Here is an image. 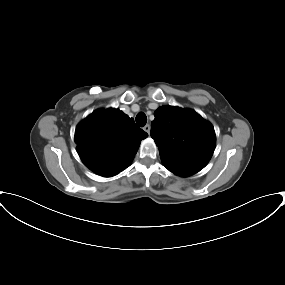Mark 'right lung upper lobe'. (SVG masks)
I'll use <instances>...</instances> for the list:
<instances>
[{"instance_id": "obj_1", "label": "right lung upper lobe", "mask_w": 285, "mask_h": 285, "mask_svg": "<svg viewBox=\"0 0 285 285\" xmlns=\"http://www.w3.org/2000/svg\"><path fill=\"white\" fill-rule=\"evenodd\" d=\"M148 136L133 118L114 108L98 109L81 121L75 132L82 162L103 177L126 169L141 140Z\"/></svg>"}]
</instances>
